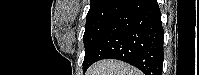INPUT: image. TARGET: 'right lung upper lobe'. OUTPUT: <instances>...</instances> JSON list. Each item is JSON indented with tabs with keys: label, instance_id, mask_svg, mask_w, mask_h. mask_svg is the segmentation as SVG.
<instances>
[{
	"label": "right lung upper lobe",
	"instance_id": "1",
	"mask_svg": "<svg viewBox=\"0 0 199 75\" xmlns=\"http://www.w3.org/2000/svg\"><path fill=\"white\" fill-rule=\"evenodd\" d=\"M106 1H108V0H91L90 1V8L94 7L96 5L102 4V3L106 2Z\"/></svg>",
	"mask_w": 199,
	"mask_h": 75
}]
</instances>
